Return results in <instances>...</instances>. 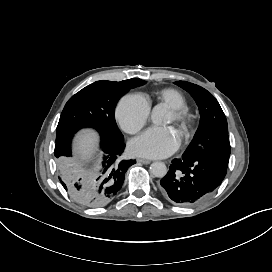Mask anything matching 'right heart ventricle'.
<instances>
[{
  "label": "right heart ventricle",
  "instance_id": "1",
  "mask_svg": "<svg viewBox=\"0 0 272 272\" xmlns=\"http://www.w3.org/2000/svg\"><path fill=\"white\" fill-rule=\"evenodd\" d=\"M158 98L165 102L169 107H185L184 97L174 89H165L158 93Z\"/></svg>",
  "mask_w": 272,
  "mask_h": 272
}]
</instances>
